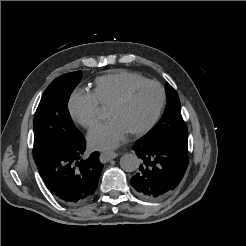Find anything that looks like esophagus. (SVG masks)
<instances>
[{
	"instance_id": "esophagus-1",
	"label": "esophagus",
	"mask_w": 246,
	"mask_h": 246,
	"mask_svg": "<svg viewBox=\"0 0 246 246\" xmlns=\"http://www.w3.org/2000/svg\"><path fill=\"white\" fill-rule=\"evenodd\" d=\"M117 157V154L114 153V152H109V151H106V152H102L101 155H100V160L104 163L114 159Z\"/></svg>"
}]
</instances>
